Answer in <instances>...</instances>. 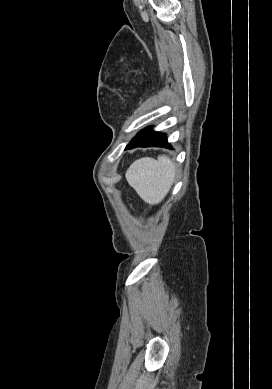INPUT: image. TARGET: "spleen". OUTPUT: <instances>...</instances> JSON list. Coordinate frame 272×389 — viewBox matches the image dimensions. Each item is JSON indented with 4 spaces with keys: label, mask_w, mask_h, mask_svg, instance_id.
Here are the masks:
<instances>
[{
    "label": "spleen",
    "mask_w": 272,
    "mask_h": 389,
    "mask_svg": "<svg viewBox=\"0 0 272 389\" xmlns=\"http://www.w3.org/2000/svg\"><path fill=\"white\" fill-rule=\"evenodd\" d=\"M176 168L166 155L157 160L144 157L133 162L126 171L127 182L149 204L161 202L175 179Z\"/></svg>",
    "instance_id": "3e777b00"
}]
</instances>
